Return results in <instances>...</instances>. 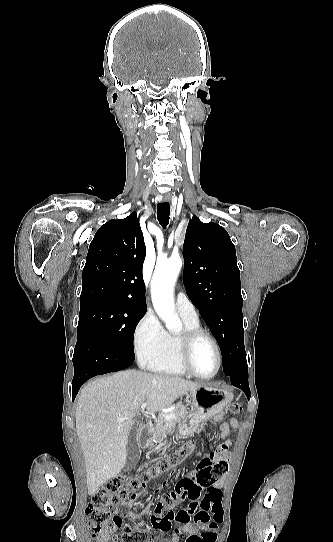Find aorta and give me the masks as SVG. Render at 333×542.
Here are the masks:
<instances>
[{
  "label": "aorta",
  "instance_id": "762f6f07",
  "mask_svg": "<svg viewBox=\"0 0 333 542\" xmlns=\"http://www.w3.org/2000/svg\"><path fill=\"white\" fill-rule=\"evenodd\" d=\"M182 260L179 256H171L168 262L156 266L152 284V304L156 314L163 320L167 330L178 332L181 320L174 312L173 286L181 270Z\"/></svg>",
  "mask_w": 333,
  "mask_h": 542
}]
</instances>
